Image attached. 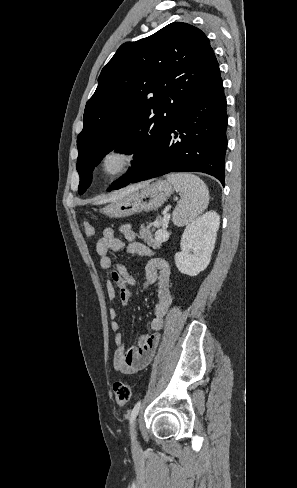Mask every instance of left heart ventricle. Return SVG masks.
<instances>
[{
  "label": "left heart ventricle",
  "instance_id": "b2bd125f",
  "mask_svg": "<svg viewBox=\"0 0 297 488\" xmlns=\"http://www.w3.org/2000/svg\"><path fill=\"white\" fill-rule=\"evenodd\" d=\"M125 160H126V157L124 154L115 153V154L110 155L106 161V166H105L106 170L109 173H112V172L119 170L123 166Z\"/></svg>",
  "mask_w": 297,
  "mask_h": 488
}]
</instances>
